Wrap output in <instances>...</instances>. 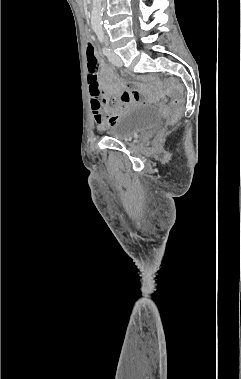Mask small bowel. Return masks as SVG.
<instances>
[{"instance_id":"c3829d8e","label":"small bowel","mask_w":241,"mask_h":379,"mask_svg":"<svg viewBox=\"0 0 241 379\" xmlns=\"http://www.w3.org/2000/svg\"><path fill=\"white\" fill-rule=\"evenodd\" d=\"M96 89L90 90V106L94 122L103 128L106 125H119L121 113L131 105L141 102L140 92L134 90L140 85L134 81L127 84L110 74L108 69L101 67L100 81ZM99 86L102 89H99ZM131 88L133 90L128 89ZM157 97L151 95L147 102H155Z\"/></svg>"}]
</instances>
